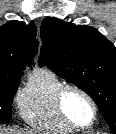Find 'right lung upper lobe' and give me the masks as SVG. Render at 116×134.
<instances>
[{
  "label": "right lung upper lobe",
  "instance_id": "cb5924a9",
  "mask_svg": "<svg viewBox=\"0 0 116 134\" xmlns=\"http://www.w3.org/2000/svg\"><path fill=\"white\" fill-rule=\"evenodd\" d=\"M36 26L10 21L0 27V84L20 82L37 51Z\"/></svg>",
  "mask_w": 116,
  "mask_h": 134
}]
</instances>
